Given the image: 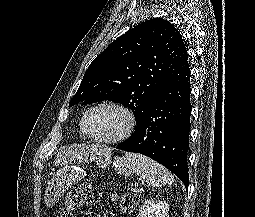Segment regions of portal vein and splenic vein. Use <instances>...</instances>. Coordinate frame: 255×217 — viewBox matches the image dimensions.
I'll return each instance as SVG.
<instances>
[{
	"instance_id": "obj_1",
	"label": "portal vein and splenic vein",
	"mask_w": 255,
	"mask_h": 217,
	"mask_svg": "<svg viewBox=\"0 0 255 217\" xmlns=\"http://www.w3.org/2000/svg\"><path fill=\"white\" fill-rule=\"evenodd\" d=\"M131 191H133V192H140V191H142V189H138V188L132 187V188H131Z\"/></svg>"
}]
</instances>
